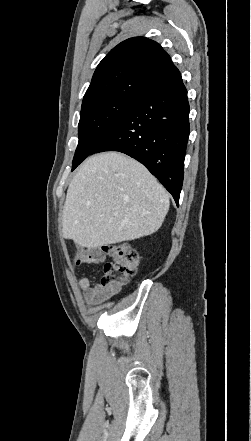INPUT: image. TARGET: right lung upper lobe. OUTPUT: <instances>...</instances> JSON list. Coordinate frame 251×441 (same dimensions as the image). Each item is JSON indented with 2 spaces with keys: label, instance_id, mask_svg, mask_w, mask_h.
Masks as SVG:
<instances>
[{
  "label": "right lung upper lobe",
  "instance_id": "obj_1",
  "mask_svg": "<svg viewBox=\"0 0 251 441\" xmlns=\"http://www.w3.org/2000/svg\"><path fill=\"white\" fill-rule=\"evenodd\" d=\"M179 70L155 41L129 38L114 47L97 66L82 107L122 96H142Z\"/></svg>",
  "mask_w": 251,
  "mask_h": 441
}]
</instances>
